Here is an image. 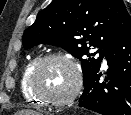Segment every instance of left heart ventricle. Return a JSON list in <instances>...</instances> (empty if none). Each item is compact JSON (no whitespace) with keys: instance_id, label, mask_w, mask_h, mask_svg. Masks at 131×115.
Listing matches in <instances>:
<instances>
[{"instance_id":"1","label":"left heart ventricle","mask_w":131,"mask_h":115,"mask_svg":"<svg viewBox=\"0 0 131 115\" xmlns=\"http://www.w3.org/2000/svg\"><path fill=\"white\" fill-rule=\"evenodd\" d=\"M75 81L71 66L61 60L48 62L39 72L37 86L51 98H63L73 88Z\"/></svg>"}]
</instances>
